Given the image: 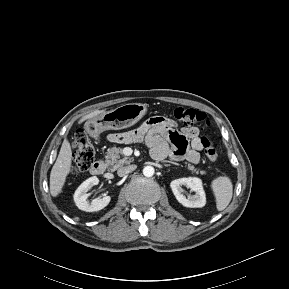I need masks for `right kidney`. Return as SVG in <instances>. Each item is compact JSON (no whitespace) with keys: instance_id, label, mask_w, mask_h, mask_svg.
<instances>
[{"instance_id":"obj_1","label":"right kidney","mask_w":289,"mask_h":289,"mask_svg":"<svg viewBox=\"0 0 289 289\" xmlns=\"http://www.w3.org/2000/svg\"><path fill=\"white\" fill-rule=\"evenodd\" d=\"M99 183V179L96 176L90 177L85 180L74 193V202L76 206L86 212H95L106 207L110 200V196H104L103 198H95L91 202L88 201L87 191L94 185Z\"/></svg>"}]
</instances>
